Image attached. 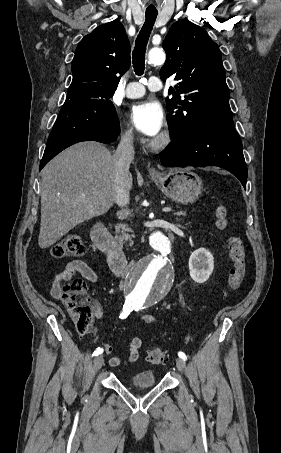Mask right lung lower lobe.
<instances>
[{
  "mask_svg": "<svg viewBox=\"0 0 281 453\" xmlns=\"http://www.w3.org/2000/svg\"><path fill=\"white\" fill-rule=\"evenodd\" d=\"M119 133V120L110 100L65 102L48 138L39 170L74 143L92 140L110 143Z\"/></svg>",
  "mask_w": 281,
  "mask_h": 453,
  "instance_id": "1",
  "label": "right lung lower lobe"
}]
</instances>
